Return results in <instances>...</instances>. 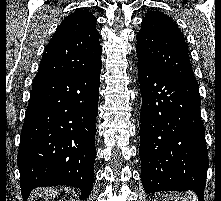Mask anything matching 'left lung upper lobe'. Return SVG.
<instances>
[{"label":"left lung upper lobe","mask_w":221,"mask_h":201,"mask_svg":"<svg viewBox=\"0 0 221 201\" xmlns=\"http://www.w3.org/2000/svg\"><path fill=\"white\" fill-rule=\"evenodd\" d=\"M136 51L143 67L197 84L183 33L167 15L147 12L137 34Z\"/></svg>","instance_id":"obj_1"}]
</instances>
